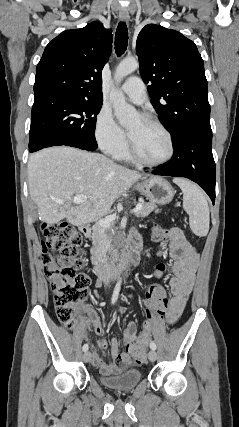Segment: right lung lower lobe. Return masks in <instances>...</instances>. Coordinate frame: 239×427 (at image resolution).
<instances>
[{
  "label": "right lung lower lobe",
  "instance_id": "1",
  "mask_svg": "<svg viewBox=\"0 0 239 427\" xmlns=\"http://www.w3.org/2000/svg\"><path fill=\"white\" fill-rule=\"evenodd\" d=\"M55 146H56V145H55ZM72 147H75V146H72ZM97 147H98V146H97ZM97 147H95V148H94V150H95V149H97ZM77 148H78V147H77ZM80 149H82V148H80ZM84 150H85V149H84ZM94 150H88V151H94ZM35 151H38V150H29V152H35Z\"/></svg>",
  "mask_w": 239,
  "mask_h": 427
}]
</instances>
